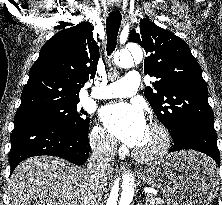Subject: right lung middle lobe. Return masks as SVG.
<instances>
[{
  "label": "right lung middle lobe",
  "instance_id": "1",
  "mask_svg": "<svg viewBox=\"0 0 222 205\" xmlns=\"http://www.w3.org/2000/svg\"><path fill=\"white\" fill-rule=\"evenodd\" d=\"M79 101L71 103H46L31 110L16 112L17 119H44L65 129L88 134L90 119L83 109L77 107Z\"/></svg>",
  "mask_w": 222,
  "mask_h": 205
}]
</instances>
